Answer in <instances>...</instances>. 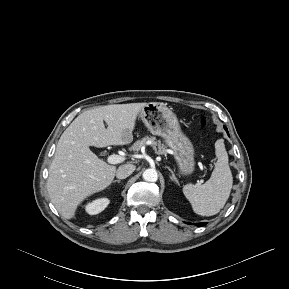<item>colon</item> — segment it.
<instances>
[{"instance_id":"5ec220e1","label":"colon","mask_w":289,"mask_h":289,"mask_svg":"<svg viewBox=\"0 0 289 289\" xmlns=\"http://www.w3.org/2000/svg\"><path fill=\"white\" fill-rule=\"evenodd\" d=\"M200 123H201L202 125H206L207 121H206V119H201Z\"/></svg>"}]
</instances>
